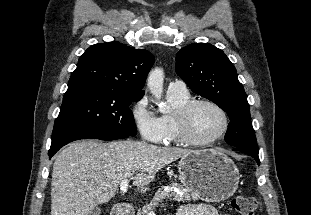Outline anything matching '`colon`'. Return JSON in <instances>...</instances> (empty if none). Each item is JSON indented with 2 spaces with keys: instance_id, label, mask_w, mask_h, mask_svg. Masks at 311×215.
<instances>
[{
  "instance_id": "1",
  "label": "colon",
  "mask_w": 311,
  "mask_h": 215,
  "mask_svg": "<svg viewBox=\"0 0 311 215\" xmlns=\"http://www.w3.org/2000/svg\"><path fill=\"white\" fill-rule=\"evenodd\" d=\"M231 205L239 215H254L258 201L251 196H237L232 200Z\"/></svg>"
}]
</instances>
